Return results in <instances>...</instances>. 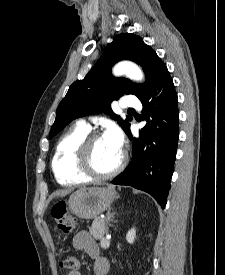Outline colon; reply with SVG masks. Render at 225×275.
Masks as SVG:
<instances>
[{
  "label": "colon",
  "instance_id": "1",
  "mask_svg": "<svg viewBox=\"0 0 225 275\" xmlns=\"http://www.w3.org/2000/svg\"><path fill=\"white\" fill-rule=\"evenodd\" d=\"M52 216L62 233L69 234L73 231L74 223L67 216V207L64 202H60L53 207ZM62 268L70 272H76L80 268L79 260L75 256H69L62 261Z\"/></svg>",
  "mask_w": 225,
  "mask_h": 275
}]
</instances>
